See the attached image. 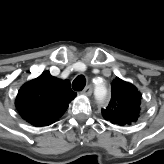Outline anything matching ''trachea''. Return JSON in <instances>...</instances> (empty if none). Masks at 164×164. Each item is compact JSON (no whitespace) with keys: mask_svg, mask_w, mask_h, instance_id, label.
Here are the masks:
<instances>
[{"mask_svg":"<svg viewBox=\"0 0 164 164\" xmlns=\"http://www.w3.org/2000/svg\"><path fill=\"white\" fill-rule=\"evenodd\" d=\"M86 85V79L83 75L77 76L72 82V88L75 91H81Z\"/></svg>","mask_w":164,"mask_h":164,"instance_id":"3493384b","label":"trachea"}]
</instances>
